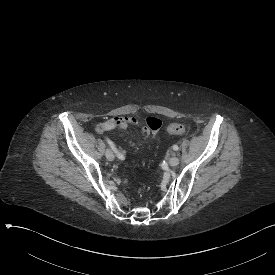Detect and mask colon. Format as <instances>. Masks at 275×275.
I'll return each mask as SVG.
<instances>
[{"label":"colon","mask_w":275,"mask_h":275,"mask_svg":"<svg viewBox=\"0 0 275 275\" xmlns=\"http://www.w3.org/2000/svg\"><path fill=\"white\" fill-rule=\"evenodd\" d=\"M166 131L169 134H174V135H183L186 132L185 127L183 125H181V124H178V123L169 124L166 127ZM124 182L126 184L129 183V181L127 179Z\"/></svg>","instance_id":"1"}]
</instances>
